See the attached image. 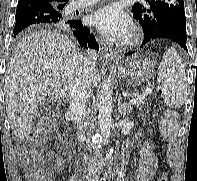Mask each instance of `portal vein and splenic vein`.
Segmentation results:
<instances>
[{
    "label": "portal vein and splenic vein",
    "instance_id": "obj_1",
    "mask_svg": "<svg viewBox=\"0 0 197 181\" xmlns=\"http://www.w3.org/2000/svg\"><path fill=\"white\" fill-rule=\"evenodd\" d=\"M151 92H152L151 88H150V87H147V88L145 89V91L143 92V94L138 95L137 97L131 99V100L129 101V103H130V104H137V103L141 102L142 100H144L146 96L150 95Z\"/></svg>",
    "mask_w": 197,
    "mask_h": 181
}]
</instances>
